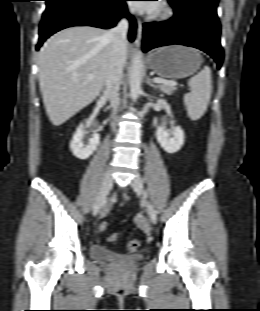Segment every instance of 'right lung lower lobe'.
Listing matches in <instances>:
<instances>
[{"label":"right lung lower lobe","mask_w":260,"mask_h":311,"mask_svg":"<svg viewBox=\"0 0 260 311\" xmlns=\"http://www.w3.org/2000/svg\"><path fill=\"white\" fill-rule=\"evenodd\" d=\"M47 7L43 13L39 29V50L43 42L55 32L71 26H94L112 28L122 17L130 21L129 40H134L136 22L128 14L126 0H45Z\"/></svg>","instance_id":"98d812e1"}]
</instances>
